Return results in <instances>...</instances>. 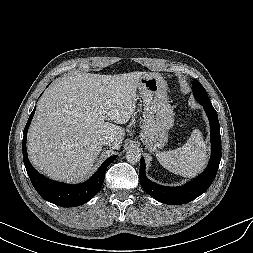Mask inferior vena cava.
Instances as JSON below:
<instances>
[{
  "mask_svg": "<svg viewBox=\"0 0 253 253\" xmlns=\"http://www.w3.org/2000/svg\"><path fill=\"white\" fill-rule=\"evenodd\" d=\"M101 142H102V144H104V145H111L112 142H113V139L110 138V137H106L105 139H102Z\"/></svg>",
  "mask_w": 253,
  "mask_h": 253,
  "instance_id": "602c4592",
  "label": "inferior vena cava"
}]
</instances>
